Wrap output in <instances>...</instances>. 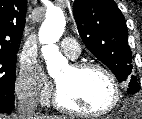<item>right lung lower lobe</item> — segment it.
<instances>
[{
  "label": "right lung lower lobe",
  "instance_id": "98d812e1",
  "mask_svg": "<svg viewBox=\"0 0 142 119\" xmlns=\"http://www.w3.org/2000/svg\"><path fill=\"white\" fill-rule=\"evenodd\" d=\"M15 97L0 94V113H8L12 110Z\"/></svg>",
  "mask_w": 142,
  "mask_h": 119
}]
</instances>
